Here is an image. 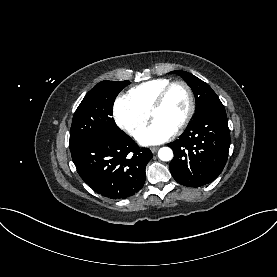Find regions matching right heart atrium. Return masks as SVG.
I'll return each mask as SVG.
<instances>
[{
	"label": "right heart atrium",
	"mask_w": 277,
	"mask_h": 277,
	"mask_svg": "<svg viewBox=\"0 0 277 277\" xmlns=\"http://www.w3.org/2000/svg\"><path fill=\"white\" fill-rule=\"evenodd\" d=\"M113 117L116 124L131 136L137 135L147 122V116L125 95L115 100Z\"/></svg>",
	"instance_id": "1"
}]
</instances>
